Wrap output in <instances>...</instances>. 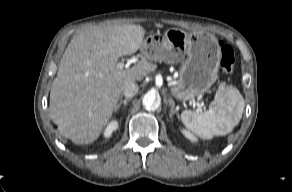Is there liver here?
<instances>
[{"instance_id": "1", "label": "liver", "mask_w": 292, "mask_h": 192, "mask_svg": "<svg viewBox=\"0 0 292 192\" xmlns=\"http://www.w3.org/2000/svg\"><path fill=\"white\" fill-rule=\"evenodd\" d=\"M144 36L140 25L125 24L87 28L71 39L50 91L49 115L62 136L75 144L97 140L124 85L141 81L157 68L146 59L125 70L116 67L120 57L143 46Z\"/></svg>"}]
</instances>
